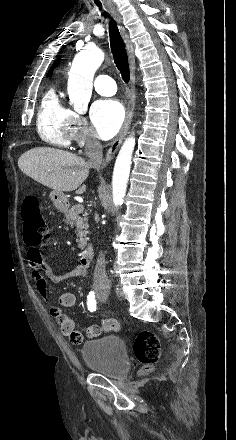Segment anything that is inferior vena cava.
<instances>
[{
  "label": "inferior vena cava",
  "instance_id": "obj_1",
  "mask_svg": "<svg viewBox=\"0 0 236 440\" xmlns=\"http://www.w3.org/2000/svg\"><path fill=\"white\" fill-rule=\"evenodd\" d=\"M86 154L89 158L88 164L90 167L95 168L96 170L100 169V165L102 162V145L96 138L88 139L85 147ZM106 262L105 257L102 252H100L97 263L94 271V288H109L110 280L106 274Z\"/></svg>",
  "mask_w": 236,
  "mask_h": 440
}]
</instances>
